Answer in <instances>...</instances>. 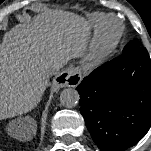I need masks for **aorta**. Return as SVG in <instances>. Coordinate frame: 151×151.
Segmentation results:
<instances>
[{"instance_id": "obj_1", "label": "aorta", "mask_w": 151, "mask_h": 151, "mask_svg": "<svg viewBox=\"0 0 151 151\" xmlns=\"http://www.w3.org/2000/svg\"><path fill=\"white\" fill-rule=\"evenodd\" d=\"M60 103L66 108H73L77 106L80 95L77 90L66 88L60 93Z\"/></svg>"}]
</instances>
